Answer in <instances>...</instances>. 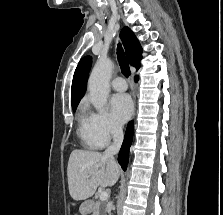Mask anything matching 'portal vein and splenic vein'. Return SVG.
<instances>
[{
    "mask_svg": "<svg viewBox=\"0 0 223 215\" xmlns=\"http://www.w3.org/2000/svg\"><path fill=\"white\" fill-rule=\"evenodd\" d=\"M87 177H90V175H87ZM107 197H109L108 191H101V193H100L101 201H105V199H107Z\"/></svg>",
    "mask_w": 223,
    "mask_h": 215,
    "instance_id": "1",
    "label": "portal vein and splenic vein"
}]
</instances>
